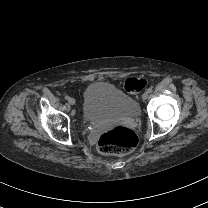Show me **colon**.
Here are the masks:
<instances>
[{"instance_id":"1","label":"colon","mask_w":208,"mask_h":208,"mask_svg":"<svg viewBox=\"0 0 208 208\" xmlns=\"http://www.w3.org/2000/svg\"><path fill=\"white\" fill-rule=\"evenodd\" d=\"M147 86L145 79L128 78L123 83V89L128 93L142 91ZM140 137L137 132L126 127H115L104 133L99 141L98 148L105 155L127 154L137 147Z\"/></svg>"}]
</instances>
